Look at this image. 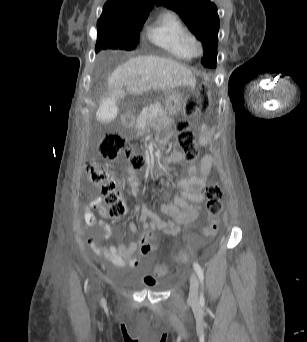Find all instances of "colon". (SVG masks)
I'll use <instances>...</instances> for the list:
<instances>
[{
    "mask_svg": "<svg viewBox=\"0 0 307 342\" xmlns=\"http://www.w3.org/2000/svg\"><path fill=\"white\" fill-rule=\"evenodd\" d=\"M200 88L204 94L209 92V83L201 82ZM208 102H198L194 99H188L185 102L184 113L186 119H181L176 124V139L179 148L182 150L185 160L187 162H195L200 155V149L195 143V135L190 128L189 119L206 111ZM86 163L85 170L89 177L90 182L99 187L104 196V203L106 205V215L110 218L117 219L124 215L126 212L125 202L116 190V183L110 176V169L101 164L100 160L115 161L122 157H126L133 168H140L144 161L135 153L134 146L130 143L129 139L122 133L111 132L106 134L93 157ZM206 192V210L208 213V222L205 226V233L208 237H215L219 231L218 216L222 211L223 190L221 184L217 180L210 181L205 188ZM154 232L147 230L142 237L141 255L148 256L150 251H156L158 246L151 244ZM178 258L181 266H187L189 261L183 250L178 252ZM169 273V266L166 264L161 265L155 272V275L144 277L146 285L153 286L157 283L159 277Z\"/></svg>",
    "mask_w": 307,
    "mask_h": 342,
    "instance_id": "obj_1",
    "label": "colon"
}]
</instances>
